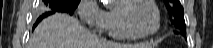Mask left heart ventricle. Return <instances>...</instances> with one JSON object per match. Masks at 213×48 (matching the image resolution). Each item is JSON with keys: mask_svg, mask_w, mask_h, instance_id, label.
Here are the masks:
<instances>
[{"mask_svg": "<svg viewBox=\"0 0 213 48\" xmlns=\"http://www.w3.org/2000/svg\"><path fill=\"white\" fill-rule=\"evenodd\" d=\"M132 25L142 33L151 32L156 27L153 8L144 1L134 3L127 12Z\"/></svg>", "mask_w": 213, "mask_h": 48, "instance_id": "b2bd125f", "label": "left heart ventricle"}]
</instances>
